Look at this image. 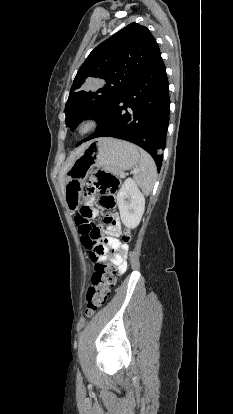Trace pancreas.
Here are the masks:
<instances>
[{"label":"pancreas","instance_id":"pancreas-1","mask_svg":"<svg viewBox=\"0 0 233 414\" xmlns=\"http://www.w3.org/2000/svg\"><path fill=\"white\" fill-rule=\"evenodd\" d=\"M124 173L122 171L117 172V175H119L120 177H122Z\"/></svg>","mask_w":233,"mask_h":414}]
</instances>
